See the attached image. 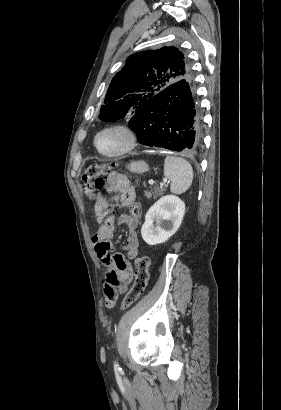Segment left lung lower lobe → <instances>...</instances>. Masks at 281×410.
<instances>
[{
    "mask_svg": "<svg viewBox=\"0 0 281 410\" xmlns=\"http://www.w3.org/2000/svg\"><path fill=\"white\" fill-rule=\"evenodd\" d=\"M129 126L146 146L174 151H196L202 143L203 128L192 78L177 81L131 117Z\"/></svg>",
    "mask_w": 281,
    "mask_h": 410,
    "instance_id": "obj_1",
    "label": "left lung lower lobe"
}]
</instances>
